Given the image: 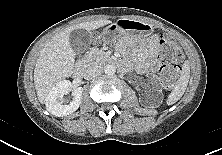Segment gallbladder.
I'll return each instance as SVG.
<instances>
[{
    "mask_svg": "<svg viewBox=\"0 0 222 155\" xmlns=\"http://www.w3.org/2000/svg\"><path fill=\"white\" fill-rule=\"evenodd\" d=\"M70 43L75 52L83 53L91 43L90 34L84 29L74 30L70 35Z\"/></svg>",
    "mask_w": 222,
    "mask_h": 155,
    "instance_id": "1",
    "label": "gallbladder"
}]
</instances>
